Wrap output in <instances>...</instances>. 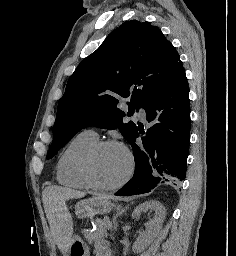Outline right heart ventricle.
Here are the masks:
<instances>
[{
    "label": "right heart ventricle",
    "instance_id": "1",
    "mask_svg": "<svg viewBox=\"0 0 236 256\" xmlns=\"http://www.w3.org/2000/svg\"><path fill=\"white\" fill-rule=\"evenodd\" d=\"M98 143V137L82 131L77 134L61 153L56 165L57 181L69 188L88 189L82 168L86 155Z\"/></svg>",
    "mask_w": 236,
    "mask_h": 256
}]
</instances>
